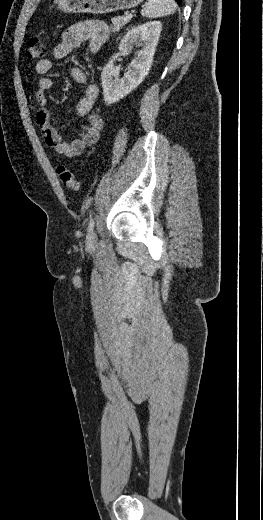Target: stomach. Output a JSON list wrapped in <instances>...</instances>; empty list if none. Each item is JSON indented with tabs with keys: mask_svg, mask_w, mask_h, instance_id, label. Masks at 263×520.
Here are the masks:
<instances>
[{
	"mask_svg": "<svg viewBox=\"0 0 263 520\" xmlns=\"http://www.w3.org/2000/svg\"><path fill=\"white\" fill-rule=\"evenodd\" d=\"M143 0H55L64 13L106 14L138 6Z\"/></svg>",
	"mask_w": 263,
	"mask_h": 520,
	"instance_id": "1",
	"label": "stomach"
}]
</instances>
